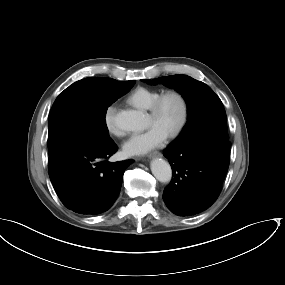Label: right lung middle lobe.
Instances as JSON below:
<instances>
[{
  "instance_id": "1",
  "label": "right lung middle lobe",
  "mask_w": 285,
  "mask_h": 285,
  "mask_svg": "<svg viewBox=\"0 0 285 285\" xmlns=\"http://www.w3.org/2000/svg\"><path fill=\"white\" fill-rule=\"evenodd\" d=\"M134 84L133 80L90 77L61 92L48 119L49 156L74 142L111 139L105 120L107 109Z\"/></svg>"
}]
</instances>
